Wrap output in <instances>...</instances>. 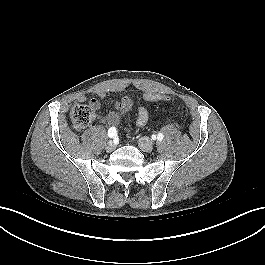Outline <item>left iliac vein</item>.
Returning <instances> with one entry per match:
<instances>
[{
  "label": "left iliac vein",
  "mask_w": 265,
  "mask_h": 265,
  "mask_svg": "<svg viewBox=\"0 0 265 265\" xmlns=\"http://www.w3.org/2000/svg\"><path fill=\"white\" fill-rule=\"evenodd\" d=\"M139 147L141 150H143L144 152H151L153 150V142L147 138V137H142L139 142Z\"/></svg>",
  "instance_id": "4c4485c4"
}]
</instances>
